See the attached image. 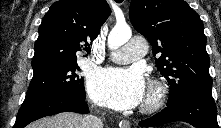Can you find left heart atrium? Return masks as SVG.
I'll return each instance as SVG.
<instances>
[{
	"label": "left heart atrium",
	"instance_id": "39dd6f15",
	"mask_svg": "<svg viewBox=\"0 0 221 128\" xmlns=\"http://www.w3.org/2000/svg\"><path fill=\"white\" fill-rule=\"evenodd\" d=\"M88 88L95 102L118 110L136 107L145 95L144 76L138 66L98 70L90 76Z\"/></svg>",
	"mask_w": 221,
	"mask_h": 128
}]
</instances>
